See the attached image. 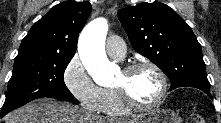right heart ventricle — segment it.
<instances>
[{
    "label": "right heart ventricle",
    "instance_id": "obj_1",
    "mask_svg": "<svg viewBox=\"0 0 221 123\" xmlns=\"http://www.w3.org/2000/svg\"><path fill=\"white\" fill-rule=\"evenodd\" d=\"M103 92V103L100 112L114 118L129 114V110L121 103L113 88L103 89Z\"/></svg>",
    "mask_w": 221,
    "mask_h": 123
}]
</instances>
